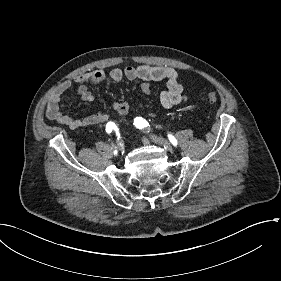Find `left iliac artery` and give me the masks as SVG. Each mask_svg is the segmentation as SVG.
<instances>
[{
	"mask_svg": "<svg viewBox=\"0 0 281 281\" xmlns=\"http://www.w3.org/2000/svg\"><path fill=\"white\" fill-rule=\"evenodd\" d=\"M134 125L139 129H144L149 126L148 122L145 119H143L142 117H136L134 119ZM168 138L173 145H175V146L177 145V141L174 138V136L168 135Z\"/></svg>",
	"mask_w": 281,
	"mask_h": 281,
	"instance_id": "obj_1",
	"label": "left iliac artery"
}]
</instances>
